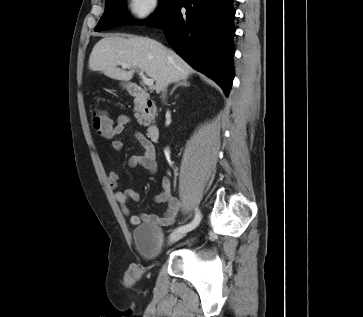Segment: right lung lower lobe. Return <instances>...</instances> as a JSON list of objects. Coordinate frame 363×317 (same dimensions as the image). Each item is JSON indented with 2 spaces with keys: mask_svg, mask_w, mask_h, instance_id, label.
Wrapping results in <instances>:
<instances>
[{
  "mask_svg": "<svg viewBox=\"0 0 363 317\" xmlns=\"http://www.w3.org/2000/svg\"><path fill=\"white\" fill-rule=\"evenodd\" d=\"M233 0H173L150 26L162 28L171 47L228 96L234 77ZM184 7L186 13H181Z\"/></svg>",
  "mask_w": 363,
  "mask_h": 317,
  "instance_id": "98d812e1",
  "label": "right lung lower lobe"
}]
</instances>
